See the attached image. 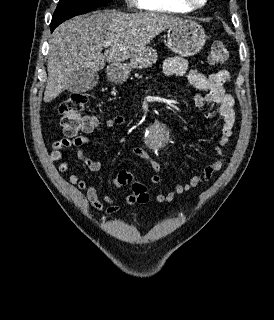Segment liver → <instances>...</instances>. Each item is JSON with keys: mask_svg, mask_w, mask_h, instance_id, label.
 <instances>
[{"mask_svg": "<svg viewBox=\"0 0 274 320\" xmlns=\"http://www.w3.org/2000/svg\"><path fill=\"white\" fill-rule=\"evenodd\" d=\"M178 20L181 18L157 12L124 14L99 10L64 22L49 40L44 102H51L64 90H70L75 72H100L106 62L121 64L136 58L151 40ZM105 42L113 44L103 46ZM103 48L108 50L101 54Z\"/></svg>", "mask_w": 274, "mask_h": 320, "instance_id": "obj_1", "label": "liver"}]
</instances>
